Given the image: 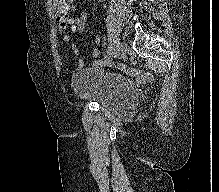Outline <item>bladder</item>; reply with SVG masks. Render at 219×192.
Wrapping results in <instances>:
<instances>
[{
    "label": "bladder",
    "instance_id": "1",
    "mask_svg": "<svg viewBox=\"0 0 219 192\" xmlns=\"http://www.w3.org/2000/svg\"><path fill=\"white\" fill-rule=\"evenodd\" d=\"M73 87L78 100L94 102L115 116L125 117L138 111V91L123 75L86 67L76 72Z\"/></svg>",
    "mask_w": 219,
    "mask_h": 192
}]
</instances>
